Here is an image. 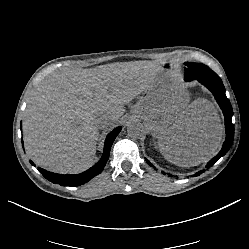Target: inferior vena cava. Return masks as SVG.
I'll list each match as a JSON object with an SVG mask.
<instances>
[{
	"instance_id": "obj_1",
	"label": "inferior vena cava",
	"mask_w": 249,
	"mask_h": 249,
	"mask_svg": "<svg viewBox=\"0 0 249 249\" xmlns=\"http://www.w3.org/2000/svg\"><path fill=\"white\" fill-rule=\"evenodd\" d=\"M95 123L99 129H106L107 127L112 125V117L108 116L107 114H103L95 120ZM135 125H142V124L138 123Z\"/></svg>"
}]
</instances>
